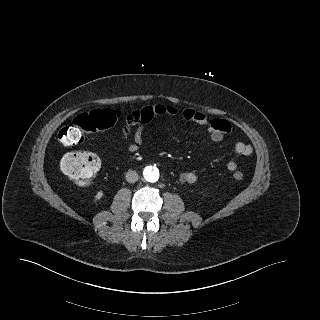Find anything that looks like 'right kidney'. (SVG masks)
Listing matches in <instances>:
<instances>
[{
	"label": "right kidney",
	"mask_w": 320,
	"mask_h": 320,
	"mask_svg": "<svg viewBox=\"0 0 320 320\" xmlns=\"http://www.w3.org/2000/svg\"><path fill=\"white\" fill-rule=\"evenodd\" d=\"M103 192L102 191H99V192H97V194L95 195V199L96 200H100L102 197H103Z\"/></svg>",
	"instance_id": "ca27d5eb"
}]
</instances>
